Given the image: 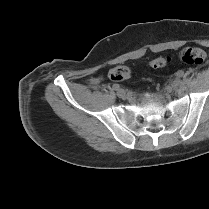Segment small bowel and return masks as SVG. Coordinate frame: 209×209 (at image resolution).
<instances>
[{
	"label": "small bowel",
	"mask_w": 209,
	"mask_h": 209,
	"mask_svg": "<svg viewBox=\"0 0 209 209\" xmlns=\"http://www.w3.org/2000/svg\"><path fill=\"white\" fill-rule=\"evenodd\" d=\"M99 82H100V79L99 78H92L91 79V83H93V84H97Z\"/></svg>",
	"instance_id": "small-bowel-1"
}]
</instances>
